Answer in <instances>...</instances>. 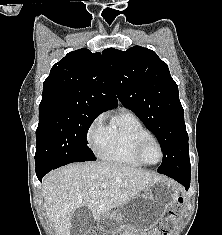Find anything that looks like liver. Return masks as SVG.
<instances>
[{
  "instance_id": "6515ba94",
  "label": "liver",
  "mask_w": 222,
  "mask_h": 235,
  "mask_svg": "<svg viewBox=\"0 0 222 235\" xmlns=\"http://www.w3.org/2000/svg\"><path fill=\"white\" fill-rule=\"evenodd\" d=\"M163 177L113 162L75 163L48 174L42 183L44 207L56 235H71V217L79 207L95 221ZM107 183V188H101Z\"/></svg>"
}]
</instances>
